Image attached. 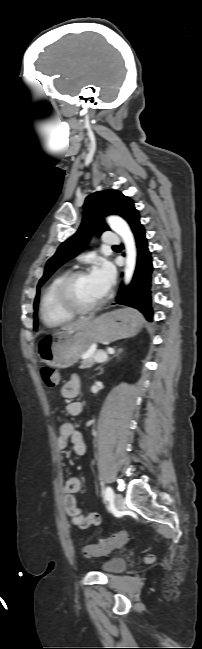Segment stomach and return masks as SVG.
Wrapping results in <instances>:
<instances>
[{"label": "stomach", "instance_id": "stomach-1", "mask_svg": "<svg viewBox=\"0 0 202 649\" xmlns=\"http://www.w3.org/2000/svg\"><path fill=\"white\" fill-rule=\"evenodd\" d=\"M140 323L130 309L105 313L79 328L57 331L38 341L37 353L45 364L62 369L75 364L92 345L133 336Z\"/></svg>", "mask_w": 202, "mask_h": 649}]
</instances>
